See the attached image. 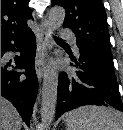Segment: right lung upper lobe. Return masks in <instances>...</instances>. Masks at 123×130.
I'll return each instance as SVG.
<instances>
[{
	"instance_id": "cb5924a9",
	"label": "right lung upper lobe",
	"mask_w": 123,
	"mask_h": 130,
	"mask_svg": "<svg viewBox=\"0 0 123 130\" xmlns=\"http://www.w3.org/2000/svg\"><path fill=\"white\" fill-rule=\"evenodd\" d=\"M29 0H1V39L22 35L30 30L26 21L32 19Z\"/></svg>"
}]
</instances>
